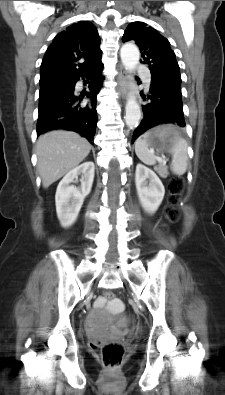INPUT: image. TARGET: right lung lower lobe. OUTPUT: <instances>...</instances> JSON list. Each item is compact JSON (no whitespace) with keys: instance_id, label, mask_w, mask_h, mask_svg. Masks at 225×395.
Here are the masks:
<instances>
[{"instance_id":"obj_1","label":"right lung lower lobe","mask_w":225,"mask_h":395,"mask_svg":"<svg viewBox=\"0 0 225 395\" xmlns=\"http://www.w3.org/2000/svg\"><path fill=\"white\" fill-rule=\"evenodd\" d=\"M102 70L103 64L100 61L88 72L69 77L40 91L37 136L49 130L65 129L80 133L94 144L92 140L97 125L96 96L104 79ZM80 76L92 79L89 92H75V83ZM85 96L92 100L90 105L81 104Z\"/></svg>"}]
</instances>
